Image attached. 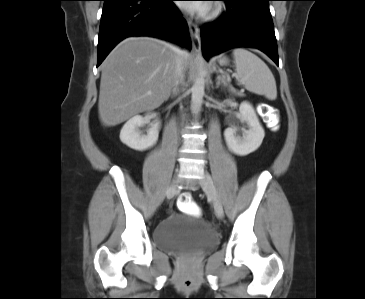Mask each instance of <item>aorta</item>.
Instances as JSON below:
<instances>
[{"instance_id":"obj_1","label":"aorta","mask_w":365,"mask_h":299,"mask_svg":"<svg viewBox=\"0 0 365 299\" xmlns=\"http://www.w3.org/2000/svg\"><path fill=\"white\" fill-rule=\"evenodd\" d=\"M196 59L199 62V70H198V74L196 76V79L194 81V84L192 86L191 92V104H192V110L195 114H198L202 103H203V96H204V90H205V78L207 75V71L204 67V62H203V57L200 53V51H198L197 55H196Z\"/></svg>"}]
</instances>
